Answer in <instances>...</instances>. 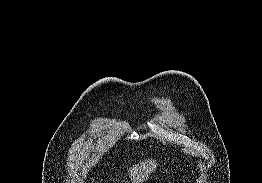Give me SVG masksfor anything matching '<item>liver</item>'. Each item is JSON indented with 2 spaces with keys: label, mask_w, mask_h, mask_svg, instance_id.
<instances>
[{
  "label": "liver",
  "mask_w": 262,
  "mask_h": 183,
  "mask_svg": "<svg viewBox=\"0 0 262 183\" xmlns=\"http://www.w3.org/2000/svg\"><path fill=\"white\" fill-rule=\"evenodd\" d=\"M157 162L152 159H147L140 164L130 168L129 175L132 183H143L147 180L148 175L156 169Z\"/></svg>",
  "instance_id": "6515ba94"
}]
</instances>
